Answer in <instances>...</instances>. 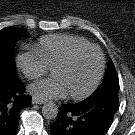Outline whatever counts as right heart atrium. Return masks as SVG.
I'll return each mask as SVG.
<instances>
[{"label":"right heart atrium","mask_w":135,"mask_h":135,"mask_svg":"<svg viewBox=\"0 0 135 135\" xmlns=\"http://www.w3.org/2000/svg\"><path fill=\"white\" fill-rule=\"evenodd\" d=\"M17 66L29 80H34L48 71L40 54L35 50L20 52L16 57Z\"/></svg>","instance_id":"d8ad5b80"}]
</instances>
